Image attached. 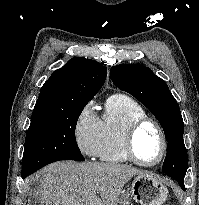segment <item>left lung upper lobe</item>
Returning <instances> with one entry per match:
<instances>
[{"label":"left lung upper lobe","instance_id":"1","mask_svg":"<svg viewBox=\"0 0 199 205\" xmlns=\"http://www.w3.org/2000/svg\"><path fill=\"white\" fill-rule=\"evenodd\" d=\"M113 83L144 104L163 127L167 154L163 173L183 181L187 171L188 156L184 145V123L180 108L164 80L148 67L138 64H120L110 69Z\"/></svg>","mask_w":199,"mask_h":205}]
</instances>
